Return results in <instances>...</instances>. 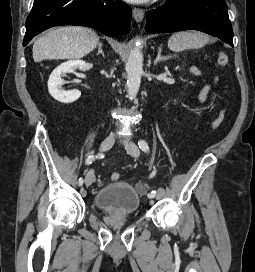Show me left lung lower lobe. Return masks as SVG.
<instances>
[{"mask_svg": "<svg viewBox=\"0 0 255 272\" xmlns=\"http://www.w3.org/2000/svg\"><path fill=\"white\" fill-rule=\"evenodd\" d=\"M146 31L199 30L233 47V30L224 0H167L147 14Z\"/></svg>", "mask_w": 255, "mask_h": 272, "instance_id": "0a47b994", "label": "left lung lower lobe"}]
</instances>
